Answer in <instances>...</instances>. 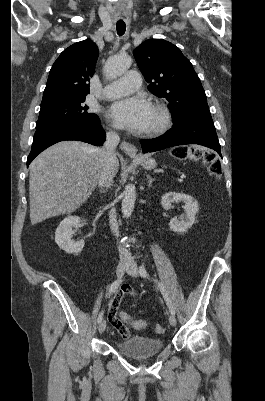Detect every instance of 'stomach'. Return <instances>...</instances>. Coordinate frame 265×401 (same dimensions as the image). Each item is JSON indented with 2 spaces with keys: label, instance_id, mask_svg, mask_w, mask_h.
<instances>
[{
  "label": "stomach",
  "instance_id": "obj_1",
  "mask_svg": "<svg viewBox=\"0 0 265 401\" xmlns=\"http://www.w3.org/2000/svg\"><path fill=\"white\" fill-rule=\"evenodd\" d=\"M132 158H136L146 170H152V168H155L156 166V160L155 158H151V156H148V154H142V156H132Z\"/></svg>",
  "mask_w": 265,
  "mask_h": 401
}]
</instances>
